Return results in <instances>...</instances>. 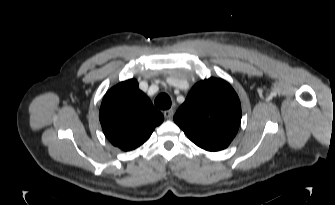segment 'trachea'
Returning <instances> with one entry per match:
<instances>
[{
	"label": "trachea",
	"instance_id": "1",
	"mask_svg": "<svg viewBox=\"0 0 335 205\" xmlns=\"http://www.w3.org/2000/svg\"><path fill=\"white\" fill-rule=\"evenodd\" d=\"M155 105L162 110H167L171 107V98L166 93L159 94L155 99Z\"/></svg>",
	"mask_w": 335,
	"mask_h": 205
}]
</instances>
